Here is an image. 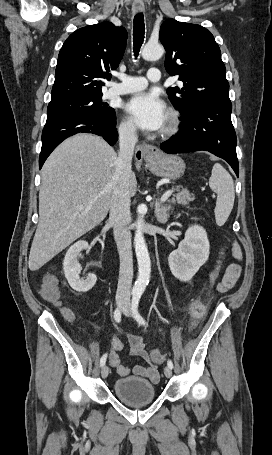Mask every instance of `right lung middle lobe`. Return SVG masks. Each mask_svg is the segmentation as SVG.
<instances>
[{"label": "right lung middle lobe", "instance_id": "obj_1", "mask_svg": "<svg viewBox=\"0 0 272 455\" xmlns=\"http://www.w3.org/2000/svg\"><path fill=\"white\" fill-rule=\"evenodd\" d=\"M102 94L68 97L51 101L47 108V120L71 114L96 115L110 119L115 110L102 103Z\"/></svg>", "mask_w": 272, "mask_h": 455}]
</instances>
